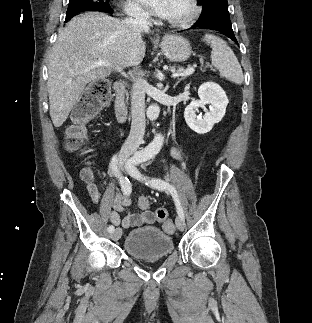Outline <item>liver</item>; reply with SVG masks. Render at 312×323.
<instances>
[{
    "instance_id": "1",
    "label": "liver",
    "mask_w": 312,
    "mask_h": 323,
    "mask_svg": "<svg viewBox=\"0 0 312 323\" xmlns=\"http://www.w3.org/2000/svg\"><path fill=\"white\" fill-rule=\"evenodd\" d=\"M145 52V42L137 44L123 20L102 12L74 16L60 28L48 60L50 118L55 128L67 120L87 84L104 80L117 68L141 64ZM95 62L109 66L91 68Z\"/></svg>"
}]
</instances>
